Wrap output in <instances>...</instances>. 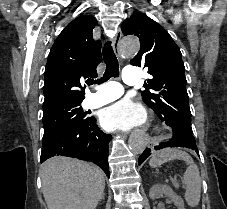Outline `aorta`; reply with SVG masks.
I'll list each match as a JSON object with an SVG mask.
<instances>
[{
  "label": "aorta",
  "mask_w": 227,
  "mask_h": 209,
  "mask_svg": "<svg viewBox=\"0 0 227 209\" xmlns=\"http://www.w3.org/2000/svg\"><path fill=\"white\" fill-rule=\"evenodd\" d=\"M140 42L138 38L130 36L122 39L120 43V53L122 56L130 57L138 52ZM145 147V140L143 137H137L130 143V149L133 153L139 155L143 152Z\"/></svg>",
  "instance_id": "762f6f07"
}]
</instances>
